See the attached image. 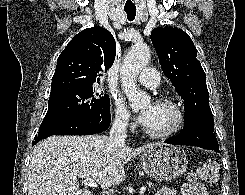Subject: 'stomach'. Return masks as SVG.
Here are the masks:
<instances>
[{
    "instance_id": "obj_1",
    "label": "stomach",
    "mask_w": 245,
    "mask_h": 195,
    "mask_svg": "<svg viewBox=\"0 0 245 195\" xmlns=\"http://www.w3.org/2000/svg\"><path fill=\"white\" fill-rule=\"evenodd\" d=\"M141 165L146 174L158 181H170L182 175L188 164L185 151L174 145L158 144L141 154Z\"/></svg>"
}]
</instances>
